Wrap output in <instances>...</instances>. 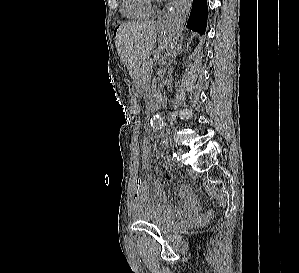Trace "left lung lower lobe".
<instances>
[{"mask_svg":"<svg viewBox=\"0 0 299 273\" xmlns=\"http://www.w3.org/2000/svg\"><path fill=\"white\" fill-rule=\"evenodd\" d=\"M207 17V0H193L192 10L187 22V28L204 34Z\"/></svg>","mask_w":299,"mask_h":273,"instance_id":"left-lung-lower-lobe-1","label":"left lung lower lobe"}]
</instances>
